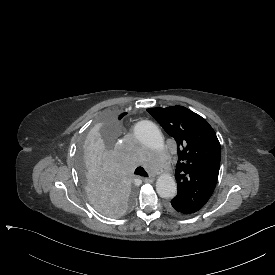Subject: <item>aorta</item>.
<instances>
[{
	"label": "aorta",
	"mask_w": 275,
	"mask_h": 275,
	"mask_svg": "<svg viewBox=\"0 0 275 275\" xmlns=\"http://www.w3.org/2000/svg\"><path fill=\"white\" fill-rule=\"evenodd\" d=\"M134 133L139 141L148 146L162 147L164 145L162 133L152 121H139L134 127ZM156 191L161 198L175 197L177 185L174 178L169 174H162L156 181Z\"/></svg>",
	"instance_id": "762f6f07"
}]
</instances>
